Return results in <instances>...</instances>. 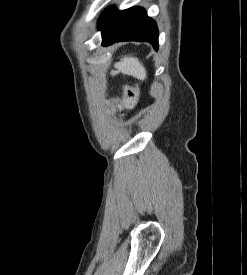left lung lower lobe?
<instances>
[{
  "instance_id": "left-lung-lower-lobe-1",
  "label": "left lung lower lobe",
  "mask_w": 247,
  "mask_h": 275,
  "mask_svg": "<svg viewBox=\"0 0 247 275\" xmlns=\"http://www.w3.org/2000/svg\"><path fill=\"white\" fill-rule=\"evenodd\" d=\"M103 46L120 41L149 42L158 50V29L156 23L140 7L117 11L108 8L99 19Z\"/></svg>"
}]
</instances>
